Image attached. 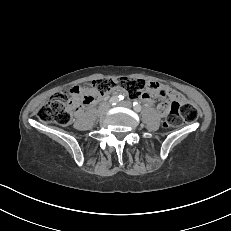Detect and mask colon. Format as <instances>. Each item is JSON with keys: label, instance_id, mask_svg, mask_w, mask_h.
I'll list each match as a JSON object with an SVG mask.
<instances>
[{"label": "colon", "instance_id": "5ec220e1", "mask_svg": "<svg viewBox=\"0 0 231 231\" xmlns=\"http://www.w3.org/2000/svg\"><path fill=\"white\" fill-rule=\"evenodd\" d=\"M86 88L89 91V95L85 97L87 103L91 101L92 95L103 94L115 88L122 89L131 98H138L149 90L144 80L129 77H110L96 80ZM77 91L78 86L57 93L39 108L38 118L44 123H53L60 126L69 125L75 109L74 94ZM164 113L166 114L164 122L166 127L177 126L182 121L192 123L199 117L198 108L190 102H169L165 105Z\"/></svg>", "mask_w": 231, "mask_h": 231}]
</instances>
